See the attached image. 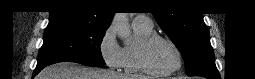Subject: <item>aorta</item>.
<instances>
[{"label": "aorta", "mask_w": 255, "mask_h": 79, "mask_svg": "<svg viewBox=\"0 0 255 79\" xmlns=\"http://www.w3.org/2000/svg\"><path fill=\"white\" fill-rule=\"evenodd\" d=\"M111 27L117 32L124 43L130 41L131 29L126 13H116L113 17Z\"/></svg>", "instance_id": "aorta-1"}]
</instances>
